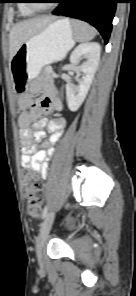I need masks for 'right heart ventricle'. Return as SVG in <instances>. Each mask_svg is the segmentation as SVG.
Instances as JSON below:
<instances>
[{"label": "right heart ventricle", "mask_w": 136, "mask_h": 296, "mask_svg": "<svg viewBox=\"0 0 136 296\" xmlns=\"http://www.w3.org/2000/svg\"><path fill=\"white\" fill-rule=\"evenodd\" d=\"M22 2L23 3H21L19 6V10H20L21 14L23 16H32L35 13V11L33 9H31L27 3H24V2H26L25 0H22Z\"/></svg>", "instance_id": "e07e8e85"}]
</instances>
